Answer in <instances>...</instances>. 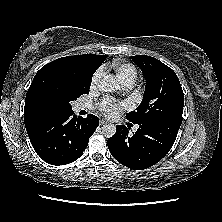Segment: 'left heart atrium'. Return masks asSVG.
I'll return each mask as SVG.
<instances>
[{
  "label": "left heart atrium",
  "mask_w": 222,
  "mask_h": 222,
  "mask_svg": "<svg viewBox=\"0 0 222 222\" xmlns=\"http://www.w3.org/2000/svg\"><path fill=\"white\" fill-rule=\"evenodd\" d=\"M122 104L111 99H105L99 104V109L108 117L115 116L120 110Z\"/></svg>",
  "instance_id": "obj_1"
}]
</instances>
